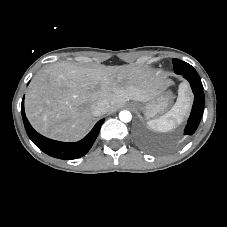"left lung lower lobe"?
Returning a JSON list of instances; mask_svg holds the SVG:
<instances>
[{
	"instance_id": "1",
	"label": "left lung lower lobe",
	"mask_w": 227,
	"mask_h": 227,
	"mask_svg": "<svg viewBox=\"0 0 227 227\" xmlns=\"http://www.w3.org/2000/svg\"><path fill=\"white\" fill-rule=\"evenodd\" d=\"M180 75H183V77L190 83L193 94L195 96L192 111L184 130L185 135H192L196 131L200 123L201 117L203 115L204 110L203 85L197 72L189 73L182 72L180 73Z\"/></svg>"
}]
</instances>
